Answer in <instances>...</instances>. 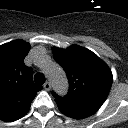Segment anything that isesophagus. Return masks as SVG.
I'll list each match as a JSON object with an SVG mask.
<instances>
[{
	"label": "esophagus",
	"instance_id": "obj_1",
	"mask_svg": "<svg viewBox=\"0 0 128 128\" xmlns=\"http://www.w3.org/2000/svg\"><path fill=\"white\" fill-rule=\"evenodd\" d=\"M43 87H44L45 90L49 91L50 88H51L50 82H46Z\"/></svg>",
	"mask_w": 128,
	"mask_h": 128
}]
</instances>
